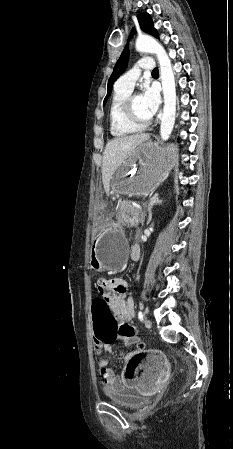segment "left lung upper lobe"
<instances>
[{
    "label": "left lung upper lobe",
    "instance_id": "5c2ea615",
    "mask_svg": "<svg viewBox=\"0 0 233 449\" xmlns=\"http://www.w3.org/2000/svg\"><path fill=\"white\" fill-rule=\"evenodd\" d=\"M137 19H138L139 25L143 31L158 38V32L154 28L152 18L148 13H140L137 16ZM128 60H129V49H128V46H126L125 49L123 50L120 58L118 59L116 65L114 66L112 75L109 78L108 85H107V95H106V97L104 99V103H103L104 105L112 92V86H113L114 82L118 79V77L120 75L123 74V72L127 68Z\"/></svg>",
    "mask_w": 233,
    "mask_h": 449
}]
</instances>
